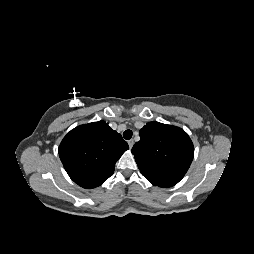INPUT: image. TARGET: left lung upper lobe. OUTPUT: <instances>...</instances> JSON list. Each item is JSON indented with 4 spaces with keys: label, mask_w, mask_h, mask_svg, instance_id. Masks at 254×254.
<instances>
[{
    "label": "left lung upper lobe",
    "mask_w": 254,
    "mask_h": 254,
    "mask_svg": "<svg viewBox=\"0 0 254 254\" xmlns=\"http://www.w3.org/2000/svg\"><path fill=\"white\" fill-rule=\"evenodd\" d=\"M139 134L140 141L133 146L132 154L142 175L159 187L177 184L194 156L188 134L179 127L159 122L147 123Z\"/></svg>",
    "instance_id": "obj_1"
}]
</instances>
